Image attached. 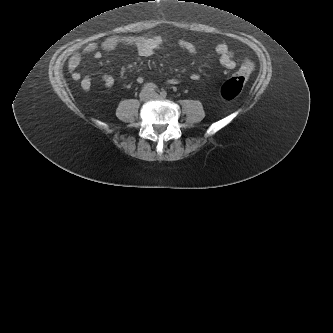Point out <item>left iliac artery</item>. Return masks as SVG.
Here are the masks:
<instances>
[{"instance_id":"left-iliac-artery-1","label":"left iliac artery","mask_w":333,"mask_h":333,"mask_svg":"<svg viewBox=\"0 0 333 333\" xmlns=\"http://www.w3.org/2000/svg\"><path fill=\"white\" fill-rule=\"evenodd\" d=\"M160 94H161V96H163V97H166V96H167V92H166V91H162Z\"/></svg>"}]
</instances>
